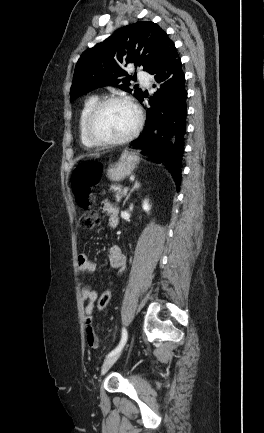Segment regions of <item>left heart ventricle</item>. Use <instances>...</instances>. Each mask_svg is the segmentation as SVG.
<instances>
[{"label":"left heart ventricle","instance_id":"obj_1","mask_svg":"<svg viewBox=\"0 0 264 433\" xmlns=\"http://www.w3.org/2000/svg\"><path fill=\"white\" fill-rule=\"evenodd\" d=\"M136 122L132 108L123 103L105 106L93 123L94 134L102 139H118L127 135Z\"/></svg>","mask_w":264,"mask_h":433}]
</instances>
